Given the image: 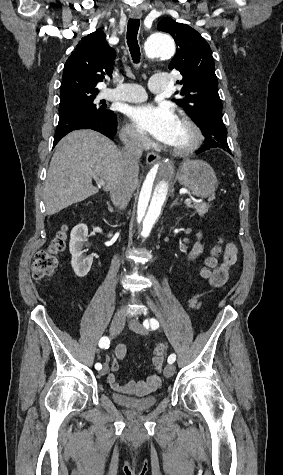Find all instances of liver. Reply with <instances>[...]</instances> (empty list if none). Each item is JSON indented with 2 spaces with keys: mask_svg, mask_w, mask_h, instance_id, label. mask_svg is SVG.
<instances>
[{
  "mask_svg": "<svg viewBox=\"0 0 283 475\" xmlns=\"http://www.w3.org/2000/svg\"><path fill=\"white\" fill-rule=\"evenodd\" d=\"M122 166V152L112 140L94 130L71 132L57 144L50 162L44 188L47 216L97 194L94 176L105 182L104 192L111 190ZM136 186L137 176L134 190Z\"/></svg>",
  "mask_w": 283,
  "mask_h": 475,
  "instance_id": "liver-1",
  "label": "liver"
}]
</instances>
